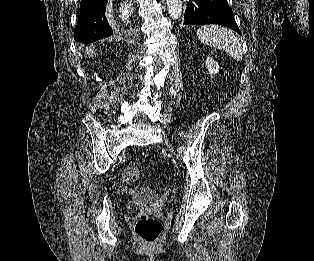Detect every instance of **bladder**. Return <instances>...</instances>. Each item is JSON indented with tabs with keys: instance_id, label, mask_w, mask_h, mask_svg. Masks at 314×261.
<instances>
[{
	"instance_id": "bladder-1",
	"label": "bladder",
	"mask_w": 314,
	"mask_h": 261,
	"mask_svg": "<svg viewBox=\"0 0 314 261\" xmlns=\"http://www.w3.org/2000/svg\"><path fill=\"white\" fill-rule=\"evenodd\" d=\"M158 196L155 189L138 191L130 200L133 207H153L157 202Z\"/></svg>"
}]
</instances>
